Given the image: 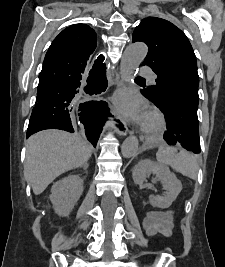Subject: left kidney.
<instances>
[{
	"mask_svg": "<svg viewBox=\"0 0 225 267\" xmlns=\"http://www.w3.org/2000/svg\"><path fill=\"white\" fill-rule=\"evenodd\" d=\"M149 174L156 175L161 181L163 189L166 190V194L163 196L151 195L149 197L151 205L163 209L169 208L182 190L181 181L177 179L175 174L170 172L167 166L146 159L140 161L133 168L132 177L134 183L142 186Z\"/></svg>",
	"mask_w": 225,
	"mask_h": 267,
	"instance_id": "obj_1",
	"label": "left kidney"
}]
</instances>
